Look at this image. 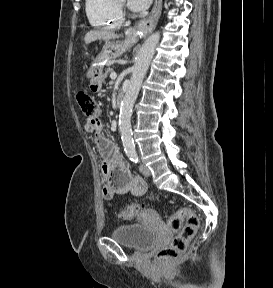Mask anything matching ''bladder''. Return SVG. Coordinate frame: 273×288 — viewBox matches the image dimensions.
<instances>
[{"label": "bladder", "instance_id": "1", "mask_svg": "<svg viewBox=\"0 0 273 288\" xmlns=\"http://www.w3.org/2000/svg\"><path fill=\"white\" fill-rule=\"evenodd\" d=\"M111 237L128 248L146 251L156 244L158 234L155 230L140 224H129L117 227Z\"/></svg>", "mask_w": 273, "mask_h": 288}]
</instances>
